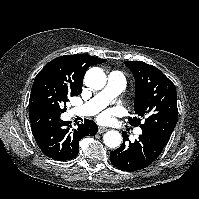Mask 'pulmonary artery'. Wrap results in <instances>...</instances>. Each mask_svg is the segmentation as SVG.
<instances>
[{
	"mask_svg": "<svg viewBox=\"0 0 199 199\" xmlns=\"http://www.w3.org/2000/svg\"><path fill=\"white\" fill-rule=\"evenodd\" d=\"M126 85L125 77L119 71H112L108 75L106 87L83 105L73 108L72 115L92 116L102 110L115 96L120 94ZM140 130L135 134L139 135Z\"/></svg>",
	"mask_w": 199,
	"mask_h": 199,
	"instance_id": "obj_1",
	"label": "pulmonary artery"
}]
</instances>
